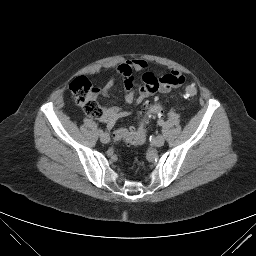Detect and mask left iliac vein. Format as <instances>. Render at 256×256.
Here are the masks:
<instances>
[{
	"label": "left iliac vein",
	"mask_w": 256,
	"mask_h": 256,
	"mask_svg": "<svg viewBox=\"0 0 256 256\" xmlns=\"http://www.w3.org/2000/svg\"><path fill=\"white\" fill-rule=\"evenodd\" d=\"M164 142H165V139H164V137H163L162 135H158V136L154 139V145H155L156 147H161V146H163Z\"/></svg>",
	"instance_id": "1"
}]
</instances>
